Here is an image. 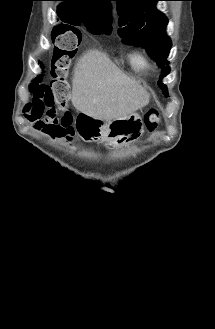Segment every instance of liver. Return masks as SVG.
I'll return each instance as SVG.
<instances>
[{"mask_svg": "<svg viewBox=\"0 0 215 329\" xmlns=\"http://www.w3.org/2000/svg\"><path fill=\"white\" fill-rule=\"evenodd\" d=\"M149 93L98 51H88L77 62L71 101L81 113L111 121L130 115L149 103Z\"/></svg>", "mask_w": 215, "mask_h": 329, "instance_id": "obj_1", "label": "liver"}]
</instances>
